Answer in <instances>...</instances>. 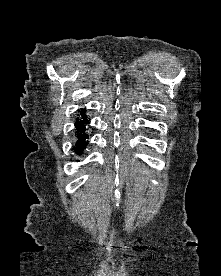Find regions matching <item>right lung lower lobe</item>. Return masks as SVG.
<instances>
[{
	"instance_id": "1",
	"label": "right lung lower lobe",
	"mask_w": 221,
	"mask_h": 276,
	"mask_svg": "<svg viewBox=\"0 0 221 276\" xmlns=\"http://www.w3.org/2000/svg\"><path fill=\"white\" fill-rule=\"evenodd\" d=\"M88 124L87 116L85 115V111H81V118L76 119L75 123V130H76V137L77 142L76 146L73 148L75 153L78 155H82L83 151L85 150L88 141V135L86 134V125Z\"/></svg>"
}]
</instances>
